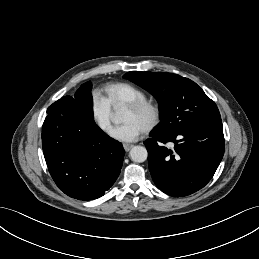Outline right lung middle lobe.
I'll return each mask as SVG.
<instances>
[{
    "instance_id": "right-lung-middle-lobe-1",
    "label": "right lung middle lobe",
    "mask_w": 259,
    "mask_h": 259,
    "mask_svg": "<svg viewBox=\"0 0 259 259\" xmlns=\"http://www.w3.org/2000/svg\"><path fill=\"white\" fill-rule=\"evenodd\" d=\"M92 84L86 82L76 91L74 101L78 105L81 113L89 120H93L92 110V95H91Z\"/></svg>"
}]
</instances>
